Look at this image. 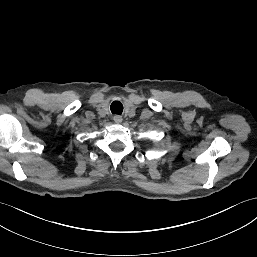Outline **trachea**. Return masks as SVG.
Returning <instances> with one entry per match:
<instances>
[{
	"label": "trachea",
	"mask_w": 257,
	"mask_h": 257,
	"mask_svg": "<svg viewBox=\"0 0 257 257\" xmlns=\"http://www.w3.org/2000/svg\"><path fill=\"white\" fill-rule=\"evenodd\" d=\"M111 112L113 114H122L123 112V105L120 101H113L111 106H110Z\"/></svg>",
	"instance_id": "1"
}]
</instances>
